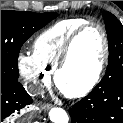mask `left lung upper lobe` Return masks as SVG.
<instances>
[{"label":"left lung upper lobe","mask_w":123,"mask_h":123,"mask_svg":"<svg viewBox=\"0 0 123 123\" xmlns=\"http://www.w3.org/2000/svg\"><path fill=\"white\" fill-rule=\"evenodd\" d=\"M109 46V60L104 78L99 87H110L117 81L123 80V26L110 12L104 11Z\"/></svg>","instance_id":"1"}]
</instances>
